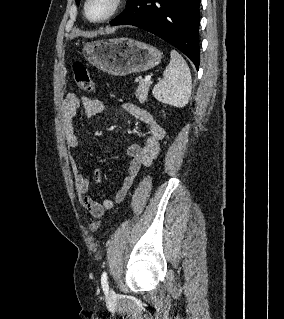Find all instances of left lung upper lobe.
Returning a JSON list of instances; mask_svg holds the SVG:
<instances>
[{"instance_id": "1", "label": "left lung upper lobe", "mask_w": 284, "mask_h": 319, "mask_svg": "<svg viewBox=\"0 0 284 319\" xmlns=\"http://www.w3.org/2000/svg\"><path fill=\"white\" fill-rule=\"evenodd\" d=\"M132 0H128V3L131 2ZM80 0H76V3L79 4Z\"/></svg>"}]
</instances>
